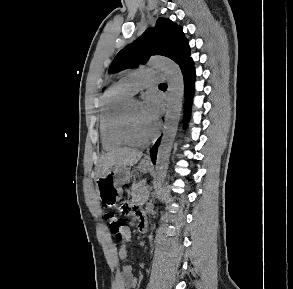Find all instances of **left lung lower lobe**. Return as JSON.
<instances>
[{"mask_svg": "<svg viewBox=\"0 0 293 289\" xmlns=\"http://www.w3.org/2000/svg\"><path fill=\"white\" fill-rule=\"evenodd\" d=\"M182 70V74L184 77V86H185V113L186 119L189 117L190 106L192 102V96L194 93V81H195V71H194V63L190 58L188 59L182 66L180 67ZM160 142V138L154 144L150 151L152 162H156L157 149Z\"/></svg>", "mask_w": 293, "mask_h": 289, "instance_id": "obj_1", "label": "left lung lower lobe"}]
</instances>
